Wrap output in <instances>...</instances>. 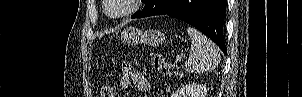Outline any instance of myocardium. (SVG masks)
<instances>
[{
    "instance_id": "1",
    "label": "myocardium",
    "mask_w": 302,
    "mask_h": 97,
    "mask_svg": "<svg viewBox=\"0 0 302 97\" xmlns=\"http://www.w3.org/2000/svg\"><path fill=\"white\" fill-rule=\"evenodd\" d=\"M129 2H130V6L126 11H124L120 14H114L109 9L110 0H104L103 1V3H104V12L106 13V15L108 17H110L112 19H123V18L129 17V16L133 15L134 13H136L139 10L143 0H129Z\"/></svg>"
}]
</instances>
